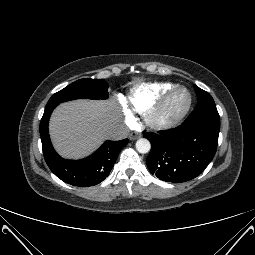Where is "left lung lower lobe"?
Instances as JSON below:
<instances>
[{"label": "left lung lower lobe", "mask_w": 255, "mask_h": 255, "mask_svg": "<svg viewBox=\"0 0 255 255\" xmlns=\"http://www.w3.org/2000/svg\"><path fill=\"white\" fill-rule=\"evenodd\" d=\"M220 121L186 122L178 127L145 134L152 145L147 166L167 182L197 177L212 161L218 144Z\"/></svg>", "instance_id": "0a47b994"}]
</instances>
